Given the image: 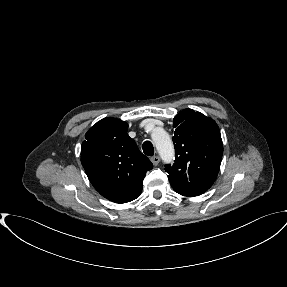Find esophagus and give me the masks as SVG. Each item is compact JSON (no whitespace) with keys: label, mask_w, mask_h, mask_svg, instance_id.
I'll list each match as a JSON object with an SVG mask.
<instances>
[{"label":"esophagus","mask_w":287,"mask_h":287,"mask_svg":"<svg viewBox=\"0 0 287 287\" xmlns=\"http://www.w3.org/2000/svg\"><path fill=\"white\" fill-rule=\"evenodd\" d=\"M151 162L153 163L154 166H157L160 162L159 156H153L151 157Z\"/></svg>","instance_id":"34e87169"}]
</instances>
